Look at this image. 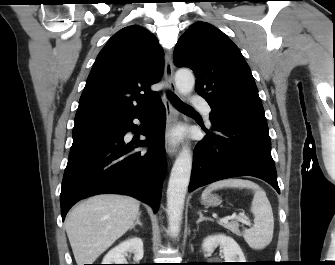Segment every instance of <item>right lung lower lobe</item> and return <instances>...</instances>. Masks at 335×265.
<instances>
[{
  "instance_id": "98d812e1",
  "label": "right lung lower lobe",
  "mask_w": 335,
  "mask_h": 265,
  "mask_svg": "<svg viewBox=\"0 0 335 265\" xmlns=\"http://www.w3.org/2000/svg\"><path fill=\"white\" fill-rule=\"evenodd\" d=\"M122 119L106 130L73 137L60 194L62 220L79 200L101 193L135 197L158 211L161 184L166 169L164 128L165 107L160 101L153 107L142 135L146 140L124 141L135 131L133 119ZM146 151H139L142 146Z\"/></svg>"
}]
</instances>
